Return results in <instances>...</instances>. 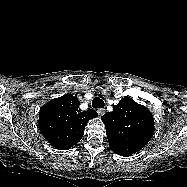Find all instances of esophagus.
<instances>
[{
    "label": "esophagus",
    "instance_id": "34e87169",
    "mask_svg": "<svg viewBox=\"0 0 187 187\" xmlns=\"http://www.w3.org/2000/svg\"><path fill=\"white\" fill-rule=\"evenodd\" d=\"M97 112H98V114H99L100 116H102V115H104V113H105V109H103V108L98 109Z\"/></svg>",
    "mask_w": 187,
    "mask_h": 187
}]
</instances>
